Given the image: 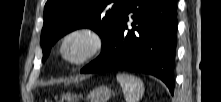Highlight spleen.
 Masks as SVG:
<instances>
[{"instance_id": "3e777b00", "label": "spleen", "mask_w": 221, "mask_h": 102, "mask_svg": "<svg viewBox=\"0 0 221 102\" xmlns=\"http://www.w3.org/2000/svg\"><path fill=\"white\" fill-rule=\"evenodd\" d=\"M126 102H139L144 94V85L140 78L131 74L120 73L116 76Z\"/></svg>"}]
</instances>
